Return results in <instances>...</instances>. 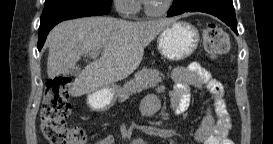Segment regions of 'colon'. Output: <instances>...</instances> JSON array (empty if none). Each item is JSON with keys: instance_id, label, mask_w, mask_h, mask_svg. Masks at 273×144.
Masks as SVG:
<instances>
[{"instance_id": "obj_1", "label": "colon", "mask_w": 273, "mask_h": 144, "mask_svg": "<svg viewBox=\"0 0 273 144\" xmlns=\"http://www.w3.org/2000/svg\"><path fill=\"white\" fill-rule=\"evenodd\" d=\"M203 43L208 59L227 52L229 40L225 31L214 22H207L203 31ZM70 79L58 77L49 80L41 109V131L51 144H81L86 140L79 127H69L66 119L71 113L68 100Z\"/></svg>"}]
</instances>
